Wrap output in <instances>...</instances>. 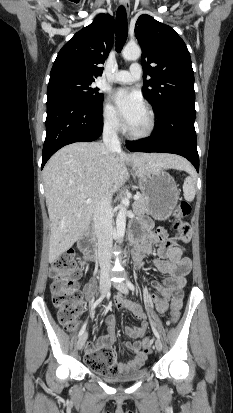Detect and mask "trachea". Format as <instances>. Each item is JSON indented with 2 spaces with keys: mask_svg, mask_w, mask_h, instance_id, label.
I'll return each instance as SVG.
<instances>
[{
  "mask_svg": "<svg viewBox=\"0 0 233 413\" xmlns=\"http://www.w3.org/2000/svg\"><path fill=\"white\" fill-rule=\"evenodd\" d=\"M128 26L127 14L123 6H120L116 13V51L120 52L127 40Z\"/></svg>",
  "mask_w": 233,
  "mask_h": 413,
  "instance_id": "3493384b",
  "label": "trachea"
}]
</instances>
